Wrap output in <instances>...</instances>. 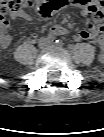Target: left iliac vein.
Here are the masks:
<instances>
[{
	"mask_svg": "<svg viewBox=\"0 0 104 137\" xmlns=\"http://www.w3.org/2000/svg\"><path fill=\"white\" fill-rule=\"evenodd\" d=\"M50 45H51V46H55V45H57V44H55V43H53V42H50Z\"/></svg>",
	"mask_w": 104,
	"mask_h": 137,
	"instance_id": "4c4485c4",
	"label": "left iliac vein"
}]
</instances>
